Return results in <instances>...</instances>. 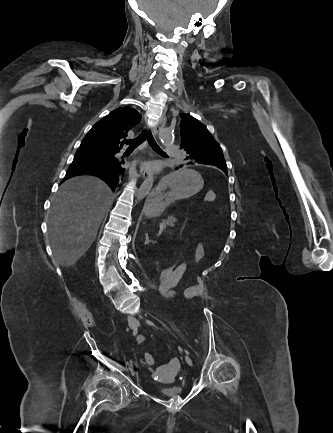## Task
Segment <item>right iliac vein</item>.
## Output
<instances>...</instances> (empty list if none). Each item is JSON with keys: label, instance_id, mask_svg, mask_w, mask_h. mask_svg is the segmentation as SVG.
<instances>
[{"label": "right iliac vein", "instance_id": "right-iliac-vein-1", "mask_svg": "<svg viewBox=\"0 0 333 433\" xmlns=\"http://www.w3.org/2000/svg\"><path fill=\"white\" fill-rule=\"evenodd\" d=\"M130 328L134 329L135 328V324H130ZM129 370L132 371L133 370V366L132 364L129 366Z\"/></svg>", "mask_w": 333, "mask_h": 433}]
</instances>
